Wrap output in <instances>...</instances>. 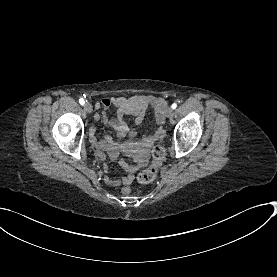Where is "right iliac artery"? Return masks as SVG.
<instances>
[{"label":"right iliac artery","mask_w":277,"mask_h":277,"mask_svg":"<svg viewBox=\"0 0 277 277\" xmlns=\"http://www.w3.org/2000/svg\"><path fill=\"white\" fill-rule=\"evenodd\" d=\"M79 103H80L81 105H84V104H85L84 99H83V98L79 99Z\"/></svg>","instance_id":"82829eb1"}]
</instances>
